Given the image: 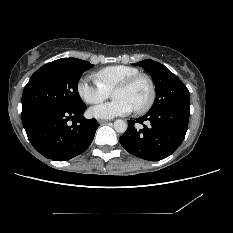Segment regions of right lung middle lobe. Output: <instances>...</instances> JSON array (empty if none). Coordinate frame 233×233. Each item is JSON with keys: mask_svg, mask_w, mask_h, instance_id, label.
<instances>
[{"mask_svg": "<svg viewBox=\"0 0 233 233\" xmlns=\"http://www.w3.org/2000/svg\"><path fill=\"white\" fill-rule=\"evenodd\" d=\"M93 66L81 59L61 58L39 68L24 88L22 115L48 106L66 109L83 106L78 82L82 73Z\"/></svg>", "mask_w": 233, "mask_h": 233, "instance_id": "obj_1", "label": "right lung middle lobe"}]
</instances>
